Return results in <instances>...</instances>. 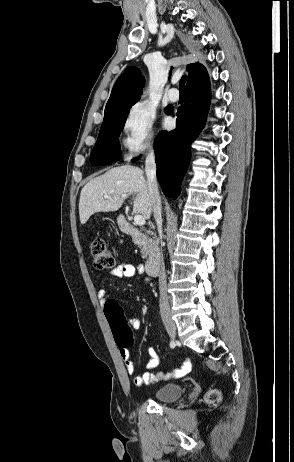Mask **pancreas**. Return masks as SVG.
Masks as SVG:
<instances>
[{"label": "pancreas", "instance_id": "pancreas-1", "mask_svg": "<svg viewBox=\"0 0 294 462\" xmlns=\"http://www.w3.org/2000/svg\"><path fill=\"white\" fill-rule=\"evenodd\" d=\"M133 241L140 248L142 258H148L151 254V240L141 239L140 237H133Z\"/></svg>", "mask_w": 294, "mask_h": 462}]
</instances>
